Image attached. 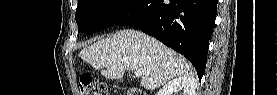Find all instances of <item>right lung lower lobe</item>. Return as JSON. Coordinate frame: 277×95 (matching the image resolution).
I'll list each match as a JSON object with an SVG mask.
<instances>
[{"mask_svg": "<svg viewBox=\"0 0 277 95\" xmlns=\"http://www.w3.org/2000/svg\"><path fill=\"white\" fill-rule=\"evenodd\" d=\"M217 3L218 0H142L116 25L140 29L184 55L201 79Z\"/></svg>", "mask_w": 277, "mask_h": 95, "instance_id": "obj_1", "label": "right lung lower lobe"}]
</instances>
